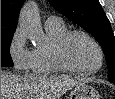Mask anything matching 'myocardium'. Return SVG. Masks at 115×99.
Here are the masks:
<instances>
[{"label": "myocardium", "mask_w": 115, "mask_h": 99, "mask_svg": "<svg viewBox=\"0 0 115 99\" xmlns=\"http://www.w3.org/2000/svg\"><path fill=\"white\" fill-rule=\"evenodd\" d=\"M76 35L83 36L87 38L96 48L98 57H99V62L98 65L91 69V70H80L76 67H74L67 59L66 57V45L68 41ZM54 58L57 64L64 70L76 75L80 76H90L95 73H97L103 66L104 64V52L103 49L100 45V43L88 32L84 30H79V29H74V30H68L65 32L57 41L55 48H54Z\"/></svg>", "instance_id": "myocardium-1"}]
</instances>
